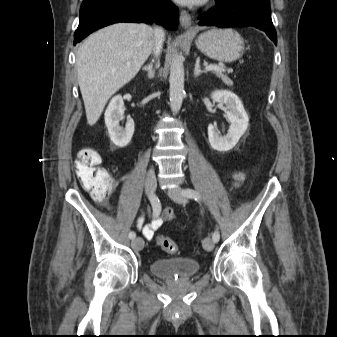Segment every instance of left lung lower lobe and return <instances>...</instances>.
Returning a JSON list of instances; mask_svg holds the SVG:
<instances>
[{
	"mask_svg": "<svg viewBox=\"0 0 337 337\" xmlns=\"http://www.w3.org/2000/svg\"><path fill=\"white\" fill-rule=\"evenodd\" d=\"M217 5L199 16V25L228 28L253 26L277 44L269 0H216Z\"/></svg>",
	"mask_w": 337,
	"mask_h": 337,
	"instance_id": "obj_1",
	"label": "left lung lower lobe"
}]
</instances>
